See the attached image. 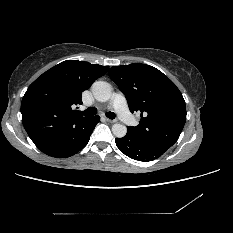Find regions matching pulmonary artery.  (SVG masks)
<instances>
[{
    "instance_id": "1",
    "label": "pulmonary artery",
    "mask_w": 233,
    "mask_h": 233,
    "mask_svg": "<svg viewBox=\"0 0 233 233\" xmlns=\"http://www.w3.org/2000/svg\"><path fill=\"white\" fill-rule=\"evenodd\" d=\"M111 105L116 109L122 121L131 125L133 122V116L127 109L125 98L120 93H115L111 98Z\"/></svg>"
}]
</instances>
